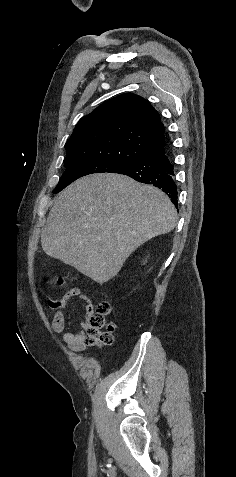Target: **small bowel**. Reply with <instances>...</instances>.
I'll return each instance as SVG.
<instances>
[{
    "mask_svg": "<svg viewBox=\"0 0 236 477\" xmlns=\"http://www.w3.org/2000/svg\"><path fill=\"white\" fill-rule=\"evenodd\" d=\"M74 297L84 303L85 306V318L81 322L79 331L77 333L67 332L62 335V340L73 351H82L86 347L85 337L89 328L88 320L91 315L94 314V304L91 299L80 293L79 289H71L63 297L59 299H49L47 303L50 309L53 311L52 328L55 332H62L64 329V316L61 310L67 305V303Z\"/></svg>",
    "mask_w": 236,
    "mask_h": 477,
    "instance_id": "1",
    "label": "small bowel"
}]
</instances>
